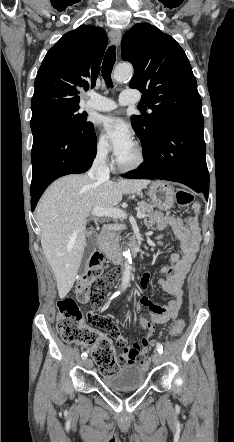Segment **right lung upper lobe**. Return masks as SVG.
<instances>
[{
	"label": "right lung upper lobe",
	"instance_id": "cb5924a9",
	"mask_svg": "<svg viewBox=\"0 0 234 442\" xmlns=\"http://www.w3.org/2000/svg\"><path fill=\"white\" fill-rule=\"evenodd\" d=\"M106 46V32L91 25H81L62 36L38 70L32 115L79 107L80 91L95 86Z\"/></svg>",
	"mask_w": 234,
	"mask_h": 442
}]
</instances>
